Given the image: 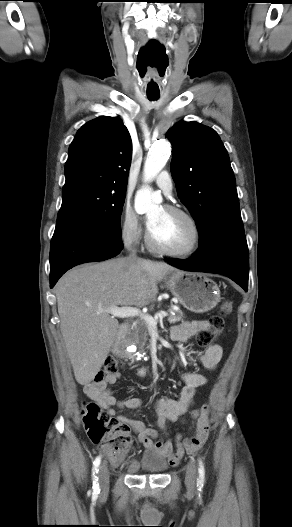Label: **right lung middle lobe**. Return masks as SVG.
Instances as JSON below:
<instances>
[{"mask_svg": "<svg viewBox=\"0 0 292 527\" xmlns=\"http://www.w3.org/2000/svg\"><path fill=\"white\" fill-rule=\"evenodd\" d=\"M126 190L75 182L65 184L57 223L92 225L121 236L120 217Z\"/></svg>", "mask_w": 292, "mask_h": 527, "instance_id": "dd1d6c3e", "label": "right lung middle lobe"}]
</instances>
